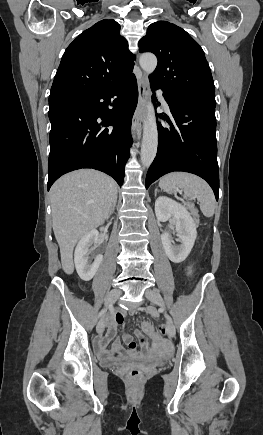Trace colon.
I'll return each mask as SVG.
<instances>
[{
  "instance_id": "colon-1",
  "label": "colon",
  "mask_w": 263,
  "mask_h": 435,
  "mask_svg": "<svg viewBox=\"0 0 263 435\" xmlns=\"http://www.w3.org/2000/svg\"><path fill=\"white\" fill-rule=\"evenodd\" d=\"M165 326L163 324H158L157 328L159 329L160 333L164 334L165 333ZM152 343V341H151ZM143 377V372L138 369V368H132L130 369L126 375L125 378L132 383H136L138 381H140Z\"/></svg>"
}]
</instances>
